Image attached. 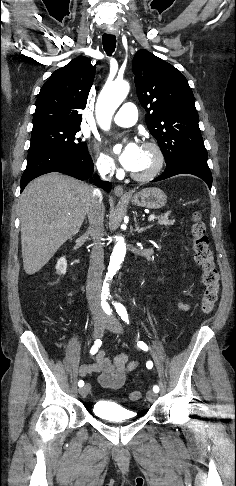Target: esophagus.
<instances>
[{"instance_id": "esophagus-1", "label": "esophagus", "mask_w": 236, "mask_h": 486, "mask_svg": "<svg viewBox=\"0 0 236 486\" xmlns=\"http://www.w3.org/2000/svg\"><path fill=\"white\" fill-rule=\"evenodd\" d=\"M107 32L109 34H112V35H115V36L119 35V31L117 29H109ZM114 194L118 197H127L128 196V194L124 191L123 187L120 186V185H117L115 187Z\"/></svg>"}]
</instances>
